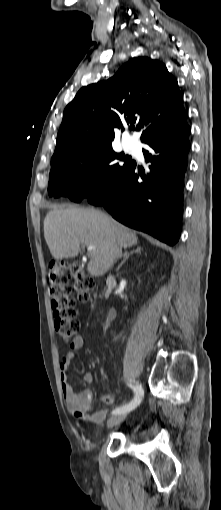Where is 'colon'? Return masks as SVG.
<instances>
[{"mask_svg": "<svg viewBox=\"0 0 221 510\" xmlns=\"http://www.w3.org/2000/svg\"><path fill=\"white\" fill-rule=\"evenodd\" d=\"M69 278H72L74 290L82 301L89 298L90 291L94 287L93 279L86 275L77 261H59L49 265L48 281L54 326L58 335L66 343L71 341L80 328L75 300L68 284Z\"/></svg>", "mask_w": 221, "mask_h": 510, "instance_id": "obj_1", "label": "colon"}]
</instances>
